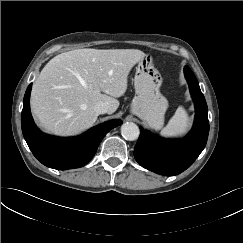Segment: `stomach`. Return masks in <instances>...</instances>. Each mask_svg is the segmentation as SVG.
<instances>
[{
	"instance_id": "stomach-1",
	"label": "stomach",
	"mask_w": 243,
	"mask_h": 243,
	"mask_svg": "<svg viewBox=\"0 0 243 243\" xmlns=\"http://www.w3.org/2000/svg\"><path fill=\"white\" fill-rule=\"evenodd\" d=\"M161 85L162 77L154 68L152 57L145 54L136 67L135 97L131 104V113L156 130L163 126L168 108V101L160 92Z\"/></svg>"
}]
</instances>
